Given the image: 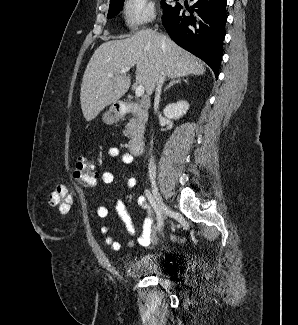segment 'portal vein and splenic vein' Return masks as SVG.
<instances>
[{
    "instance_id": "18ae733b",
    "label": "portal vein and splenic vein",
    "mask_w": 298,
    "mask_h": 325,
    "mask_svg": "<svg viewBox=\"0 0 298 325\" xmlns=\"http://www.w3.org/2000/svg\"><path fill=\"white\" fill-rule=\"evenodd\" d=\"M128 70H130V68H121V70H119V72H128ZM107 76H114V74H107ZM145 92V86H143V84H138V86H136L135 88V94L136 96H143Z\"/></svg>"
}]
</instances>
